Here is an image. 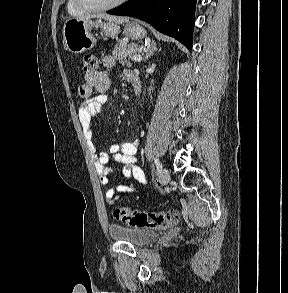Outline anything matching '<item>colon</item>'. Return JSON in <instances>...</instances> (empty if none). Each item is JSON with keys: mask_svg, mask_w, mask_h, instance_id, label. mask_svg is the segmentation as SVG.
I'll list each match as a JSON object with an SVG mask.
<instances>
[{"mask_svg": "<svg viewBox=\"0 0 288 293\" xmlns=\"http://www.w3.org/2000/svg\"><path fill=\"white\" fill-rule=\"evenodd\" d=\"M82 63L85 75L95 73L99 67L98 59L91 54L84 55ZM113 214L118 221L127 225L154 229L168 228L176 224L180 216L177 210H169L166 212H144L129 208H116Z\"/></svg>", "mask_w": 288, "mask_h": 293, "instance_id": "5ec220e1", "label": "colon"}]
</instances>
